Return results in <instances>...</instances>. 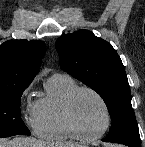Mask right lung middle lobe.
I'll return each mask as SVG.
<instances>
[{
  "instance_id": "dd1d6c3e",
  "label": "right lung middle lobe",
  "mask_w": 145,
  "mask_h": 147,
  "mask_svg": "<svg viewBox=\"0 0 145 147\" xmlns=\"http://www.w3.org/2000/svg\"><path fill=\"white\" fill-rule=\"evenodd\" d=\"M27 86L0 92V138L31 135L20 117V98Z\"/></svg>"
}]
</instances>
